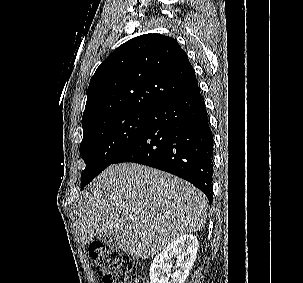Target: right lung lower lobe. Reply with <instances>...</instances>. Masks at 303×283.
Listing matches in <instances>:
<instances>
[{"label":"right lung lower lobe","instance_id":"1","mask_svg":"<svg viewBox=\"0 0 303 283\" xmlns=\"http://www.w3.org/2000/svg\"><path fill=\"white\" fill-rule=\"evenodd\" d=\"M213 142L198 85L155 112L139 138L114 162H135L181 177L212 202Z\"/></svg>","mask_w":303,"mask_h":283}]
</instances>
